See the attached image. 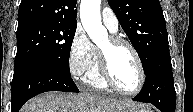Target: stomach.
<instances>
[{
	"instance_id": "1",
	"label": "stomach",
	"mask_w": 193,
	"mask_h": 112,
	"mask_svg": "<svg viewBox=\"0 0 193 112\" xmlns=\"http://www.w3.org/2000/svg\"><path fill=\"white\" fill-rule=\"evenodd\" d=\"M123 112H151V110L144 107L143 105H138L135 108H129Z\"/></svg>"
}]
</instances>
